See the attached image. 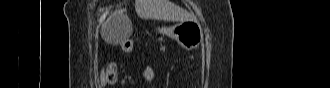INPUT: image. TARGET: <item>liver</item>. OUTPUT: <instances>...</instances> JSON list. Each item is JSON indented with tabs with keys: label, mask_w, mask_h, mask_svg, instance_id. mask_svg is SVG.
I'll return each instance as SVG.
<instances>
[{
	"label": "liver",
	"mask_w": 330,
	"mask_h": 88,
	"mask_svg": "<svg viewBox=\"0 0 330 88\" xmlns=\"http://www.w3.org/2000/svg\"><path fill=\"white\" fill-rule=\"evenodd\" d=\"M135 10L137 15L144 19H161L181 22L195 19L194 15L177 7L169 0H136ZM127 22L131 25L130 21ZM109 28H112L110 19L103 26L104 31H102V36L108 42H111L112 40L107 37ZM115 42L119 43V38Z\"/></svg>",
	"instance_id": "obj_1"
}]
</instances>
